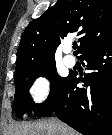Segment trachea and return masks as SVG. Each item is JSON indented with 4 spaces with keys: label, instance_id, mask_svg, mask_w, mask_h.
Instances as JSON below:
<instances>
[{
    "label": "trachea",
    "instance_id": "obj_1",
    "mask_svg": "<svg viewBox=\"0 0 112 135\" xmlns=\"http://www.w3.org/2000/svg\"><path fill=\"white\" fill-rule=\"evenodd\" d=\"M73 49H74V50L77 49V44H73Z\"/></svg>",
    "mask_w": 112,
    "mask_h": 135
}]
</instances>
